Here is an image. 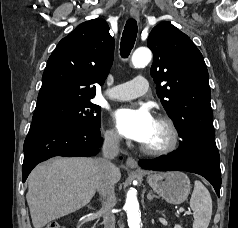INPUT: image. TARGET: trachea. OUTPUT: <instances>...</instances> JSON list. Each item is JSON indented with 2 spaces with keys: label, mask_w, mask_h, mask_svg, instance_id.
<instances>
[{
  "label": "trachea",
  "mask_w": 238,
  "mask_h": 228,
  "mask_svg": "<svg viewBox=\"0 0 238 228\" xmlns=\"http://www.w3.org/2000/svg\"><path fill=\"white\" fill-rule=\"evenodd\" d=\"M136 20L130 18L127 20L120 43V54L123 58H127L134 46L137 37Z\"/></svg>",
  "instance_id": "obj_1"
}]
</instances>
